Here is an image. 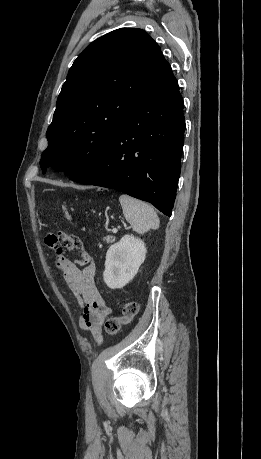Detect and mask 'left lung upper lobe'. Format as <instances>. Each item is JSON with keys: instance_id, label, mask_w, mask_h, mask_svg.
Listing matches in <instances>:
<instances>
[{"instance_id": "left-lung-upper-lobe-1", "label": "left lung upper lobe", "mask_w": 261, "mask_h": 459, "mask_svg": "<svg viewBox=\"0 0 261 459\" xmlns=\"http://www.w3.org/2000/svg\"><path fill=\"white\" fill-rule=\"evenodd\" d=\"M170 72L142 29L120 28L93 41L62 86L41 156L43 173L53 167L71 178L92 167Z\"/></svg>"}]
</instances>
